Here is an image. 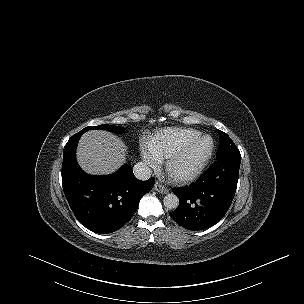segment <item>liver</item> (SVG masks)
Masks as SVG:
<instances>
[{
    "mask_svg": "<svg viewBox=\"0 0 304 304\" xmlns=\"http://www.w3.org/2000/svg\"><path fill=\"white\" fill-rule=\"evenodd\" d=\"M126 146L115 135L92 130L84 133L77 148L81 168L90 174H111L126 161Z\"/></svg>",
    "mask_w": 304,
    "mask_h": 304,
    "instance_id": "1",
    "label": "liver"
}]
</instances>
